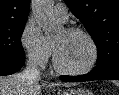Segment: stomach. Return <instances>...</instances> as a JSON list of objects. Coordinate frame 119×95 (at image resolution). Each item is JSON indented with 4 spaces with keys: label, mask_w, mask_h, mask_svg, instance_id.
Returning a JSON list of instances; mask_svg holds the SVG:
<instances>
[{
    "label": "stomach",
    "mask_w": 119,
    "mask_h": 95,
    "mask_svg": "<svg viewBox=\"0 0 119 95\" xmlns=\"http://www.w3.org/2000/svg\"><path fill=\"white\" fill-rule=\"evenodd\" d=\"M60 95H93L92 92L84 88H75L67 90L66 92L61 93Z\"/></svg>",
    "instance_id": "obj_1"
}]
</instances>
